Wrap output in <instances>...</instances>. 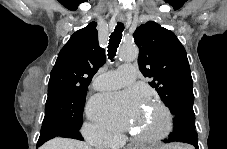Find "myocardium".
Segmentation results:
<instances>
[{"label":"myocardium","instance_id":"obj_1","mask_svg":"<svg viewBox=\"0 0 227 149\" xmlns=\"http://www.w3.org/2000/svg\"><path fill=\"white\" fill-rule=\"evenodd\" d=\"M149 102L150 104H152L153 106H155L161 111L164 118V123L161 129H159L158 131L152 134H148V135L134 134L133 135V138L136 141L143 144H151V143H156L163 140L169 135V133L172 131V128H173V117L170 109L163 102L159 100H150Z\"/></svg>","mask_w":227,"mask_h":149}]
</instances>
